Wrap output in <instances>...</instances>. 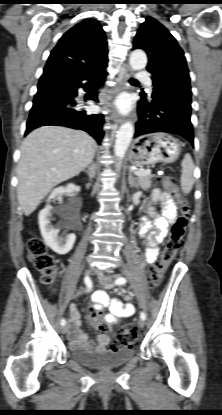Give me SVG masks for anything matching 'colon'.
I'll use <instances>...</instances> for the list:
<instances>
[{
  "instance_id": "5ec220e1",
  "label": "colon",
  "mask_w": 222,
  "mask_h": 415,
  "mask_svg": "<svg viewBox=\"0 0 222 415\" xmlns=\"http://www.w3.org/2000/svg\"><path fill=\"white\" fill-rule=\"evenodd\" d=\"M163 184L175 198L178 205V214L169 229L168 238L163 251L149 273L148 281L150 287L152 288L159 286L165 272L173 262L185 234L189 215L188 201L180 192L176 183L171 178L165 177L163 179ZM27 250L34 259L35 267L42 273L44 282L46 284H52L56 273V260L51 254L47 253L43 241L38 238H30L27 242ZM101 314V310L98 307L92 306L89 308V319L97 331L100 333H107L110 331V327L109 324L101 317ZM139 339L140 336L136 330H122L116 334L110 347L112 349H118L121 346L135 343L139 341Z\"/></svg>"
}]
</instances>
